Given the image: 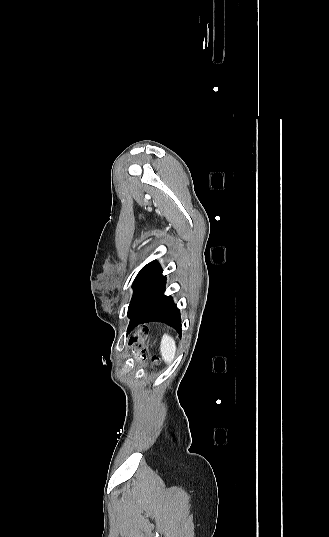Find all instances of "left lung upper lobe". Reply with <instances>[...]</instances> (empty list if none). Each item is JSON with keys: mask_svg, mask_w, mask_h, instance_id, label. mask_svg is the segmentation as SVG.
Instances as JSON below:
<instances>
[{"mask_svg": "<svg viewBox=\"0 0 329 537\" xmlns=\"http://www.w3.org/2000/svg\"><path fill=\"white\" fill-rule=\"evenodd\" d=\"M162 272L157 261H152L145 265L137 274L133 286L134 294L128 312L140 301L144 291L150 285V283Z\"/></svg>", "mask_w": 329, "mask_h": 537, "instance_id": "left-lung-upper-lobe-1", "label": "left lung upper lobe"}]
</instances>
